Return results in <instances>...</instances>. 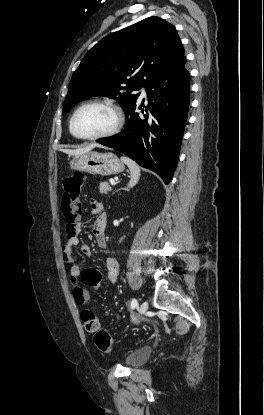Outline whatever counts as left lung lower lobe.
<instances>
[{
	"instance_id": "1",
	"label": "left lung lower lobe",
	"mask_w": 264,
	"mask_h": 415,
	"mask_svg": "<svg viewBox=\"0 0 264 415\" xmlns=\"http://www.w3.org/2000/svg\"><path fill=\"white\" fill-rule=\"evenodd\" d=\"M185 64L183 56L145 86L148 106L141 115L135 112V103L128 107L122 132L96 141L156 172L165 184L172 181L177 166L189 109L190 77Z\"/></svg>"
}]
</instances>
